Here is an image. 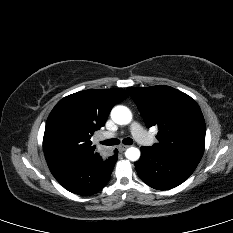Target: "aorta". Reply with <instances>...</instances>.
<instances>
[{
	"instance_id": "obj_1",
	"label": "aorta",
	"mask_w": 233,
	"mask_h": 233,
	"mask_svg": "<svg viewBox=\"0 0 233 233\" xmlns=\"http://www.w3.org/2000/svg\"><path fill=\"white\" fill-rule=\"evenodd\" d=\"M111 118L119 125H127L132 120V113L126 106L118 105L112 109ZM125 156L130 161H137L140 158V150L130 147L126 150Z\"/></svg>"
}]
</instances>
